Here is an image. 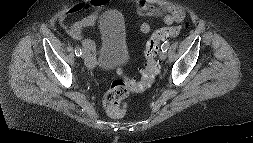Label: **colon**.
I'll list each match as a JSON object with an SVG mask.
<instances>
[{"label":"colon","instance_id":"obj_1","mask_svg":"<svg viewBox=\"0 0 253 143\" xmlns=\"http://www.w3.org/2000/svg\"><path fill=\"white\" fill-rule=\"evenodd\" d=\"M181 33L180 27L162 28L148 40L145 49L146 64L138 81L127 78L121 71L109 82L104 97V107L114 118L126 113V99L132 92H141L149 88L159 72L158 52L161 43L167 38H175Z\"/></svg>","mask_w":253,"mask_h":143}]
</instances>
